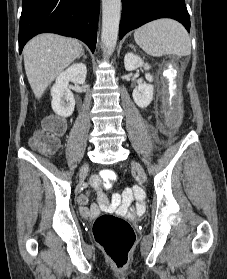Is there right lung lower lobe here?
<instances>
[{
	"label": "right lung lower lobe",
	"instance_id": "obj_1",
	"mask_svg": "<svg viewBox=\"0 0 227 279\" xmlns=\"http://www.w3.org/2000/svg\"><path fill=\"white\" fill-rule=\"evenodd\" d=\"M100 0H23L19 52L37 34L50 32L82 40L94 52Z\"/></svg>",
	"mask_w": 227,
	"mask_h": 279
}]
</instances>
